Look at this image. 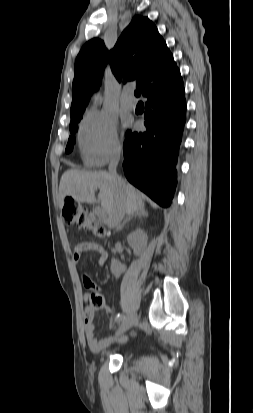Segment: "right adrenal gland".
Listing matches in <instances>:
<instances>
[{"label":"right adrenal gland","mask_w":253,"mask_h":413,"mask_svg":"<svg viewBox=\"0 0 253 413\" xmlns=\"http://www.w3.org/2000/svg\"><path fill=\"white\" fill-rule=\"evenodd\" d=\"M147 216H148V213H147L145 210H141V211L138 212V213L130 214V215L126 218V220L122 223V225L117 228V231L122 230L123 227L125 226V224H126L127 222H129L130 220L136 219V218L141 219L142 217H147Z\"/></svg>","instance_id":"1"}]
</instances>
